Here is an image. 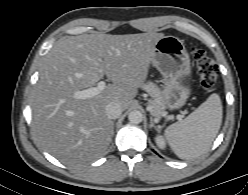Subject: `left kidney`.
Returning <instances> with one entry per match:
<instances>
[{"mask_svg": "<svg viewBox=\"0 0 248 195\" xmlns=\"http://www.w3.org/2000/svg\"><path fill=\"white\" fill-rule=\"evenodd\" d=\"M155 142H156L157 146H158L160 149H165L166 143H165L164 138H163L161 135H157V136H156Z\"/></svg>", "mask_w": 248, "mask_h": 195, "instance_id": "left-kidney-1", "label": "left kidney"}]
</instances>
